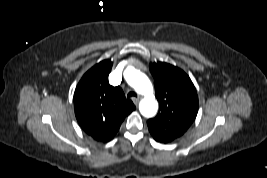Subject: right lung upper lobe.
I'll return each mask as SVG.
<instances>
[{
	"label": "right lung upper lobe",
	"instance_id": "right-lung-upper-lobe-1",
	"mask_svg": "<svg viewBox=\"0 0 267 178\" xmlns=\"http://www.w3.org/2000/svg\"><path fill=\"white\" fill-rule=\"evenodd\" d=\"M112 64L110 60H103L93 66L79 81L74 93L76 119L82 130L98 142L110 141L124 118L135 110L122 89L109 84Z\"/></svg>",
	"mask_w": 267,
	"mask_h": 178
}]
</instances>
